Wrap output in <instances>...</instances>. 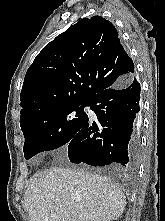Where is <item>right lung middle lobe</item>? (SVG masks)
<instances>
[{"mask_svg":"<svg viewBox=\"0 0 165 221\" xmlns=\"http://www.w3.org/2000/svg\"><path fill=\"white\" fill-rule=\"evenodd\" d=\"M88 103L72 104L39 113L20 123L24 134V156L29 159L37 153L63 146L85 125Z\"/></svg>","mask_w":165,"mask_h":221,"instance_id":"right-lung-middle-lobe-1","label":"right lung middle lobe"}]
</instances>
